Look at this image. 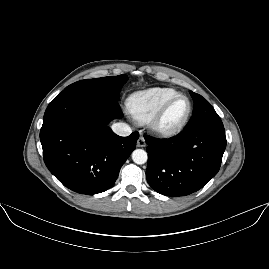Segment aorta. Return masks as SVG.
Returning <instances> with one entry per match:
<instances>
[{"label":"aorta","instance_id":"obj_1","mask_svg":"<svg viewBox=\"0 0 269 269\" xmlns=\"http://www.w3.org/2000/svg\"><path fill=\"white\" fill-rule=\"evenodd\" d=\"M133 161L138 165H143L147 162L148 155L143 149H136L132 153Z\"/></svg>","mask_w":269,"mask_h":269}]
</instances>
